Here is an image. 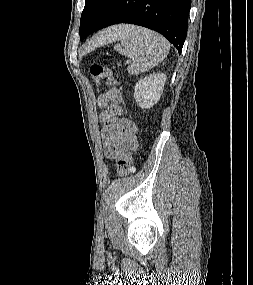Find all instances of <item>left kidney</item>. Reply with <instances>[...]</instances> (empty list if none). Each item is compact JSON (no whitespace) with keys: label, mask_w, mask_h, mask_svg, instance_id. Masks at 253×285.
I'll return each mask as SVG.
<instances>
[{"label":"left kidney","mask_w":253,"mask_h":285,"mask_svg":"<svg viewBox=\"0 0 253 285\" xmlns=\"http://www.w3.org/2000/svg\"><path fill=\"white\" fill-rule=\"evenodd\" d=\"M166 79L164 73H153L140 79L134 87L136 103L145 109L153 107L160 100Z\"/></svg>","instance_id":"left-kidney-1"}]
</instances>
